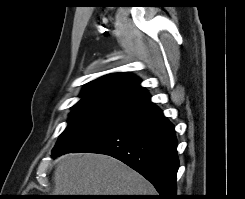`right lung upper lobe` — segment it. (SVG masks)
<instances>
[{
  "label": "right lung upper lobe",
  "mask_w": 245,
  "mask_h": 199,
  "mask_svg": "<svg viewBox=\"0 0 245 199\" xmlns=\"http://www.w3.org/2000/svg\"><path fill=\"white\" fill-rule=\"evenodd\" d=\"M140 80L127 72L99 77L84 87L73 108L92 107L126 116L154 106Z\"/></svg>",
  "instance_id": "1"
}]
</instances>
